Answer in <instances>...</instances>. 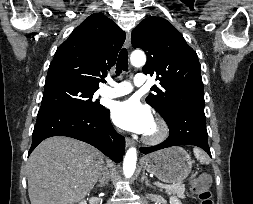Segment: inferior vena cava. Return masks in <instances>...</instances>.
Here are the masks:
<instances>
[{
	"instance_id": "1",
	"label": "inferior vena cava",
	"mask_w": 253,
	"mask_h": 204,
	"mask_svg": "<svg viewBox=\"0 0 253 204\" xmlns=\"http://www.w3.org/2000/svg\"><path fill=\"white\" fill-rule=\"evenodd\" d=\"M107 182H108V170H107V168H104V171H102V173L100 175V183L105 185V184H107Z\"/></svg>"
}]
</instances>
